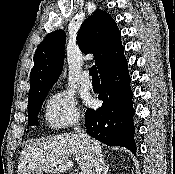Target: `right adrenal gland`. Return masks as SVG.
Here are the masks:
<instances>
[{
	"label": "right adrenal gland",
	"mask_w": 175,
	"mask_h": 174,
	"mask_svg": "<svg viewBox=\"0 0 175 174\" xmlns=\"http://www.w3.org/2000/svg\"><path fill=\"white\" fill-rule=\"evenodd\" d=\"M108 169H109V164H107L104 159H103V162H102V174H107L108 172Z\"/></svg>",
	"instance_id": "obj_1"
}]
</instances>
